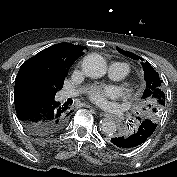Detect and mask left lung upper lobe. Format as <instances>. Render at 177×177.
Masks as SVG:
<instances>
[{"label":"left lung upper lobe","mask_w":177,"mask_h":177,"mask_svg":"<svg viewBox=\"0 0 177 177\" xmlns=\"http://www.w3.org/2000/svg\"><path fill=\"white\" fill-rule=\"evenodd\" d=\"M120 53H123L128 57L133 56L132 53L123 50H120ZM141 65L144 70V80L146 85L143 94V98L147 104L146 109H144V118L157 123L162 109L165 106V94L162 85L163 81L160 80L158 73L148 61L141 63Z\"/></svg>","instance_id":"obj_1"}]
</instances>
